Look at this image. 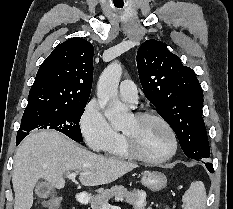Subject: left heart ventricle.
I'll return each mask as SVG.
<instances>
[{"instance_id":"obj_1","label":"left heart ventricle","mask_w":233,"mask_h":209,"mask_svg":"<svg viewBox=\"0 0 233 209\" xmlns=\"http://www.w3.org/2000/svg\"><path fill=\"white\" fill-rule=\"evenodd\" d=\"M123 132L132 136L139 151L147 157H162L171 148V139L167 130L155 119L138 121L133 116Z\"/></svg>"}]
</instances>
